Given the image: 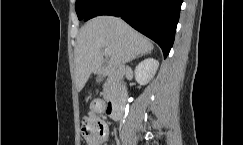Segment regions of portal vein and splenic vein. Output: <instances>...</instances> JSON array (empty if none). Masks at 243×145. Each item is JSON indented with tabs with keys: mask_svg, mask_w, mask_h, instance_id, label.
<instances>
[{
	"mask_svg": "<svg viewBox=\"0 0 243 145\" xmlns=\"http://www.w3.org/2000/svg\"><path fill=\"white\" fill-rule=\"evenodd\" d=\"M104 54H105V55H108V56H109V55H111L110 51H109V50H107V49H106V50H104Z\"/></svg>",
	"mask_w": 243,
	"mask_h": 145,
	"instance_id": "1",
	"label": "portal vein and splenic vein"
}]
</instances>
